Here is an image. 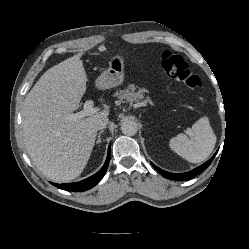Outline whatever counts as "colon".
Here are the masks:
<instances>
[{"instance_id": "1", "label": "colon", "mask_w": 249, "mask_h": 249, "mask_svg": "<svg viewBox=\"0 0 249 249\" xmlns=\"http://www.w3.org/2000/svg\"><path fill=\"white\" fill-rule=\"evenodd\" d=\"M161 66L164 72L171 78L176 79L190 88H198L202 82L179 55L165 52L161 58Z\"/></svg>"}]
</instances>
